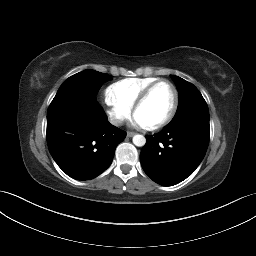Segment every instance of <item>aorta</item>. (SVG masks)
Here are the masks:
<instances>
[{"mask_svg": "<svg viewBox=\"0 0 256 256\" xmlns=\"http://www.w3.org/2000/svg\"><path fill=\"white\" fill-rule=\"evenodd\" d=\"M133 143H134V145H136L138 147H142L146 143V138L143 135H140V134L134 135Z\"/></svg>", "mask_w": 256, "mask_h": 256, "instance_id": "762f6f07", "label": "aorta"}]
</instances>
